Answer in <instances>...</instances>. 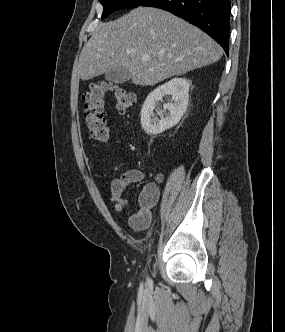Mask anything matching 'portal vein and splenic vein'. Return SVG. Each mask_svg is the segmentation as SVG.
I'll return each mask as SVG.
<instances>
[{"mask_svg": "<svg viewBox=\"0 0 285 332\" xmlns=\"http://www.w3.org/2000/svg\"><path fill=\"white\" fill-rule=\"evenodd\" d=\"M142 59H143V61H148L149 57L148 56H144Z\"/></svg>", "mask_w": 285, "mask_h": 332, "instance_id": "18ae733b", "label": "portal vein and splenic vein"}]
</instances>
